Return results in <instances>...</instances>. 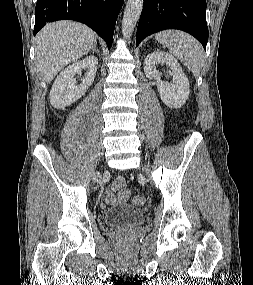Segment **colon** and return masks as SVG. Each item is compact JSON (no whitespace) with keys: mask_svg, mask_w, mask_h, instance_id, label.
Wrapping results in <instances>:
<instances>
[{"mask_svg":"<svg viewBox=\"0 0 253 285\" xmlns=\"http://www.w3.org/2000/svg\"><path fill=\"white\" fill-rule=\"evenodd\" d=\"M145 201H146L145 197L142 195H137V196L133 197V199H132V203L135 206H142L145 204Z\"/></svg>","mask_w":253,"mask_h":285,"instance_id":"1","label":"colon"}]
</instances>
